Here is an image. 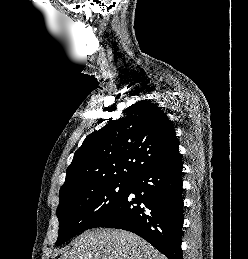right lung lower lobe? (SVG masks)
<instances>
[{
  "label": "right lung lower lobe",
  "instance_id": "98d812e1",
  "mask_svg": "<svg viewBox=\"0 0 248 259\" xmlns=\"http://www.w3.org/2000/svg\"><path fill=\"white\" fill-rule=\"evenodd\" d=\"M182 160L180 155L148 168L130 181L113 214L97 227L131 231L168 259H182ZM135 194V197L130 196Z\"/></svg>",
  "mask_w": 248,
  "mask_h": 259
}]
</instances>
